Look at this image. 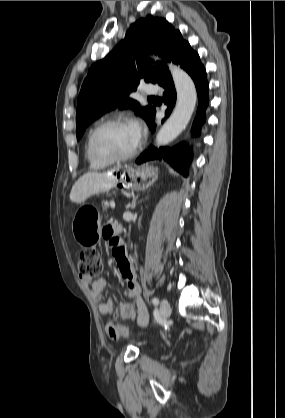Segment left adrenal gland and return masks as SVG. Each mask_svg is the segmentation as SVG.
Returning <instances> with one entry per match:
<instances>
[{
    "label": "left adrenal gland",
    "mask_w": 285,
    "mask_h": 418,
    "mask_svg": "<svg viewBox=\"0 0 285 418\" xmlns=\"http://www.w3.org/2000/svg\"><path fill=\"white\" fill-rule=\"evenodd\" d=\"M137 199H138V197L133 198V200H132V202L130 204L131 209H134L136 207Z\"/></svg>",
    "instance_id": "left-adrenal-gland-1"
}]
</instances>
